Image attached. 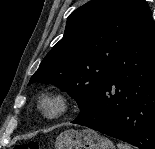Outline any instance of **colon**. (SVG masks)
<instances>
[{"mask_svg": "<svg viewBox=\"0 0 155 149\" xmlns=\"http://www.w3.org/2000/svg\"><path fill=\"white\" fill-rule=\"evenodd\" d=\"M14 149H40V146L37 142L31 141L25 144H18Z\"/></svg>", "mask_w": 155, "mask_h": 149, "instance_id": "obj_1", "label": "colon"}]
</instances>
